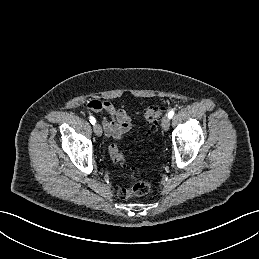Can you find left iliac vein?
<instances>
[{"label": "left iliac vein", "mask_w": 259, "mask_h": 259, "mask_svg": "<svg viewBox=\"0 0 259 259\" xmlns=\"http://www.w3.org/2000/svg\"><path fill=\"white\" fill-rule=\"evenodd\" d=\"M162 129L167 131L170 127V118L168 116L163 117L162 119Z\"/></svg>", "instance_id": "left-iliac-vein-1"}]
</instances>
